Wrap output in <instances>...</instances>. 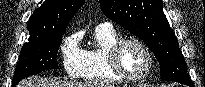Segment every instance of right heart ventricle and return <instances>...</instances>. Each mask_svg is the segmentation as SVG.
Segmentation results:
<instances>
[{"instance_id":"obj_1","label":"right heart ventricle","mask_w":205,"mask_h":87,"mask_svg":"<svg viewBox=\"0 0 205 87\" xmlns=\"http://www.w3.org/2000/svg\"><path fill=\"white\" fill-rule=\"evenodd\" d=\"M93 44L83 50L84 63L80 77L97 84L117 83L120 81L108 64L110 48L120 40L115 30L107 26H97L92 33Z\"/></svg>"}]
</instances>
